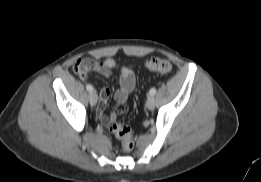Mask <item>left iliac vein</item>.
<instances>
[{
  "label": "left iliac vein",
  "mask_w": 261,
  "mask_h": 182,
  "mask_svg": "<svg viewBox=\"0 0 261 182\" xmlns=\"http://www.w3.org/2000/svg\"><path fill=\"white\" fill-rule=\"evenodd\" d=\"M146 107L149 109V110H152L154 109L155 107V98L150 95L147 100H146Z\"/></svg>",
  "instance_id": "4c4485c4"
}]
</instances>
